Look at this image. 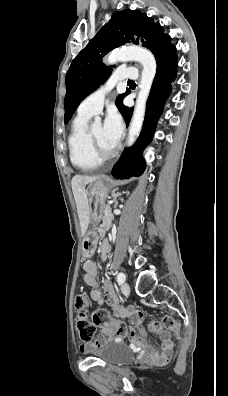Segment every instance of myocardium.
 Masks as SVG:
<instances>
[{
  "mask_svg": "<svg viewBox=\"0 0 228 396\" xmlns=\"http://www.w3.org/2000/svg\"><path fill=\"white\" fill-rule=\"evenodd\" d=\"M88 136L92 152L100 162L109 160L116 156L118 151L117 147H115L112 151H104L97 142L92 130L89 131Z\"/></svg>",
  "mask_w": 228,
  "mask_h": 396,
  "instance_id": "f54148a6",
  "label": "myocardium"
}]
</instances>
